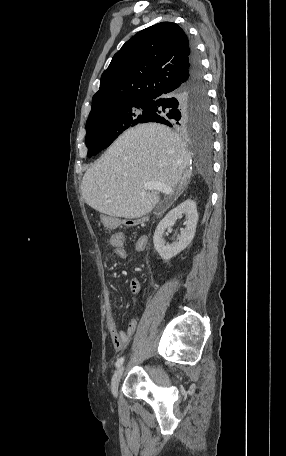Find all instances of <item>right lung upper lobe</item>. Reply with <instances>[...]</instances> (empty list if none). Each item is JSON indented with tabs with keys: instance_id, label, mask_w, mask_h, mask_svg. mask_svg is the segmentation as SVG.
<instances>
[{
	"instance_id": "obj_1",
	"label": "right lung upper lobe",
	"mask_w": 286,
	"mask_h": 456,
	"mask_svg": "<svg viewBox=\"0 0 286 456\" xmlns=\"http://www.w3.org/2000/svg\"><path fill=\"white\" fill-rule=\"evenodd\" d=\"M192 48L183 29L172 22L138 32L113 56L103 72L89 116L114 103L149 100L184 81Z\"/></svg>"
}]
</instances>
